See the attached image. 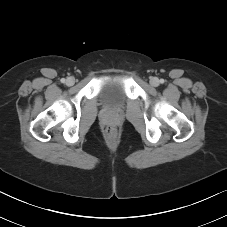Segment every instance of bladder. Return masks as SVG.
<instances>
[{"mask_svg":"<svg viewBox=\"0 0 227 227\" xmlns=\"http://www.w3.org/2000/svg\"><path fill=\"white\" fill-rule=\"evenodd\" d=\"M98 98L100 102L111 109L123 106L126 101V87L119 75H110L99 86Z\"/></svg>","mask_w":227,"mask_h":227,"instance_id":"bladder-1","label":"bladder"}]
</instances>
